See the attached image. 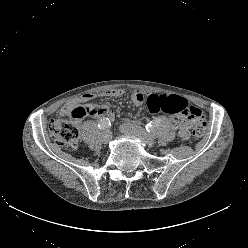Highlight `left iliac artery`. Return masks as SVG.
I'll use <instances>...</instances> for the list:
<instances>
[{"instance_id":"1","label":"left iliac artery","mask_w":248,"mask_h":248,"mask_svg":"<svg viewBox=\"0 0 248 248\" xmlns=\"http://www.w3.org/2000/svg\"><path fill=\"white\" fill-rule=\"evenodd\" d=\"M156 126H157V121L150 122L146 125V130L148 132H153Z\"/></svg>"}]
</instances>
